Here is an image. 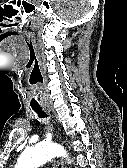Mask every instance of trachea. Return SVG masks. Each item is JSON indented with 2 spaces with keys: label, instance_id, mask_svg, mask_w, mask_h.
<instances>
[{
  "label": "trachea",
  "instance_id": "1",
  "mask_svg": "<svg viewBox=\"0 0 127 168\" xmlns=\"http://www.w3.org/2000/svg\"><path fill=\"white\" fill-rule=\"evenodd\" d=\"M34 112L38 115L39 118H46L47 114L39 106H32Z\"/></svg>",
  "mask_w": 127,
  "mask_h": 168
}]
</instances>
